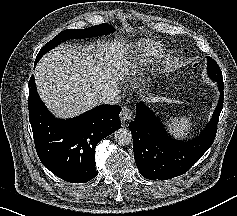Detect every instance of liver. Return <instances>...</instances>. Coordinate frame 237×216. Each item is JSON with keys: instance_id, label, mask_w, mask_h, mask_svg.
Wrapping results in <instances>:
<instances>
[{"instance_id": "liver-1", "label": "liver", "mask_w": 237, "mask_h": 216, "mask_svg": "<svg viewBox=\"0 0 237 216\" xmlns=\"http://www.w3.org/2000/svg\"><path fill=\"white\" fill-rule=\"evenodd\" d=\"M114 45L61 44L38 62L34 76L40 98L57 118H73L99 105L101 92L131 79ZM152 102L157 101L155 98Z\"/></svg>"}]
</instances>
